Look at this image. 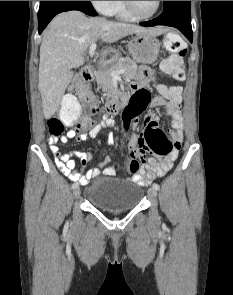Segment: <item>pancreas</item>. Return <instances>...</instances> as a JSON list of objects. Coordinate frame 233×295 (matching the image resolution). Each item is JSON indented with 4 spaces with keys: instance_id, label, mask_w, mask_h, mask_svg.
<instances>
[{
    "instance_id": "1",
    "label": "pancreas",
    "mask_w": 233,
    "mask_h": 295,
    "mask_svg": "<svg viewBox=\"0 0 233 295\" xmlns=\"http://www.w3.org/2000/svg\"><path fill=\"white\" fill-rule=\"evenodd\" d=\"M125 69L124 76L131 79L135 76L137 71V63L130 58H119L110 66L99 71L96 76V82L99 88L104 92L114 93L113 75L114 71Z\"/></svg>"
}]
</instances>
